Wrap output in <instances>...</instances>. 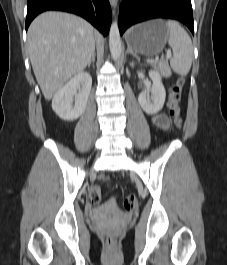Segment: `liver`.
Segmentation results:
<instances>
[{
    "label": "liver",
    "instance_id": "1",
    "mask_svg": "<svg viewBox=\"0 0 227 265\" xmlns=\"http://www.w3.org/2000/svg\"><path fill=\"white\" fill-rule=\"evenodd\" d=\"M27 45L36 80L50 100L90 62L95 52L94 28L76 15L45 12L31 23Z\"/></svg>",
    "mask_w": 227,
    "mask_h": 265
}]
</instances>
